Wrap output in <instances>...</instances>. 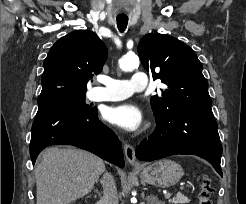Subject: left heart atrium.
I'll list each match as a JSON object with an SVG mask.
<instances>
[{
  "instance_id": "obj_1",
  "label": "left heart atrium",
  "mask_w": 246,
  "mask_h": 204,
  "mask_svg": "<svg viewBox=\"0 0 246 204\" xmlns=\"http://www.w3.org/2000/svg\"><path fill=\"white\" fill-rule=\"evenodd\" d=\"M103 116L108 122L126 131L137 130L143 122L141 110L132 103L107 107Z\"/></svg>"
}]
</instances>
